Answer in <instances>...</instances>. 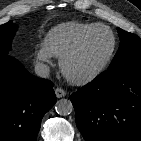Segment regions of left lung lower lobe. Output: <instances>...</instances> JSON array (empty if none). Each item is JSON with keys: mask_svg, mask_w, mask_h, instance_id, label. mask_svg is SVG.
Here are the masks:
<instances>
[{"mask_svg": "<svg viewBox=\"0 0 141 141\" xmlns=\"http://www.w3.org/2000/svg\"><path fill=\"white\" fill-rule=\"evenodd\" d=\"M71 101L86 141H141V60L101 73Z\"/></svg>", "mask_w": 141, "mask_h": 141, "instance_id": "obj_1", "label": "left lung lower lobe"}]
</instances>
